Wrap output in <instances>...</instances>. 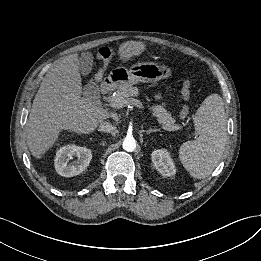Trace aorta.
I'll return each instance as SVG.
<instances>
[{"label": "aorta", "mask_w": 261, "mask_h": 261, "mask_svg": "<svg viewBox=\"0 0 261 261\" xmlns=\"http://www.w3.org/2000/svg\"><path fill=\"white\" fill-rule=\"evenodd\" d=\"M122 146L125 151L133 152L136 149V140L132 136H127L124 138Z\"/></svg>", "instance_id": "obj_1"}]
</instances>
